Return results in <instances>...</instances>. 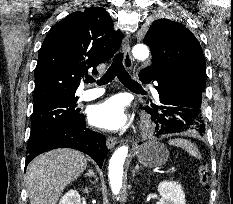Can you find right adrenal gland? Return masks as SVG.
Returning a JSON list of instances; mask_svg holds the SVG:
<instances>
[{
  "instance_id": "right-adrenal-gland-1",
  "label": "right adrenal gland",
  "mask_w": 233,
  "mask_h": 204,
  "mask_svg": "<svg viewBox=\"0 0 233 204\" xmlns=\"http://www.w3.org/2000/svg\"><path fill=\"white\" fill-rule=\"evenodd\" d=\"M85 176H91V177H94L95 180H97V177L92 169H89V171L87 173H85Z\"/></svg>"
}]
</instances>
